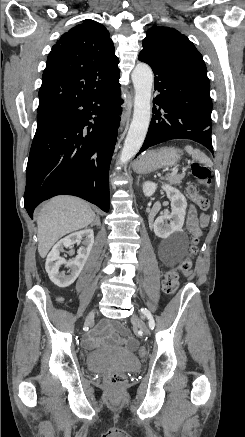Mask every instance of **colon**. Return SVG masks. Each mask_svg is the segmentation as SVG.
I'll return each instance as SVG.
<instances>
[{
	"label": "colon",
	"mask_w": 245,
	"mask_h": 437,
	"mask_svg": "<svg viewBox=\"0 0 245 437\" xmlns=\"http://www.w3.org/2000/svg\"><path fill=\"white\" fill-rule=\"evenodd\" d=\"M191 173L201 184H209L210 170L206 165L200 162H193L191 165ZM188 194L196 202L200 209L206 210L208 208V200L204 196L200 195L194 186H190L188 188ZM197 242V237H194L191 247V255L196 251ZM191 266L192 260L191 257H188L177 268L166 271L162 280V290L164 293L168 295L174 294L179 286L180 274L188 272L191 269ZM136 352L140 356H144L146 354V348L143 346L137 347ZM106 381L112 386H118L124 382V376L120 374H112L106 378Z\"/></svg>",
	"instance_id": "obj_1"
}]
</instances>
